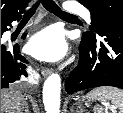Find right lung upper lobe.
Segmentation results:
<instances>
[{
    "mask_svg": "<svg viewBox=\"0 0 123 113\" xmlns=\"http://www.w3.org/2000/svg\"><path fill=\"white\" fill-rule=\"evenodd\" d=\"M29 0H1V16L23 13Z\"/></svg>",
    "mask_w": 123,
    "mask_h": 113,
    "instance_id": "cb5924a9",
    "label": "right lung upper lobe"
}]
</instances>
